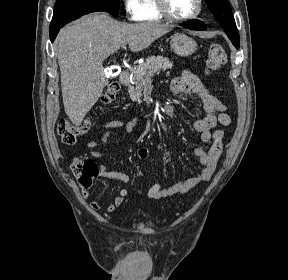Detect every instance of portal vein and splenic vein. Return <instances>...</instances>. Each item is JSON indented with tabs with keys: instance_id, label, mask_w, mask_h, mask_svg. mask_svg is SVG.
<instances>
[{
	"instance_id": "portal-vein-and-splenic-vein-1",
	"label": "portal vein and splenic vein",
	"mask_w": 288,
	"mask_h": 280,
	"mask_svg": "<svg viewBox=\"0 0 288 280\" xmlns=\"http://www.w3.org/2000/svg\"><path fill=\"white\" fill-rule=\"evenodd\" d=\"M121 47L126 48V43H123Z\"/></svg>"
}]
</instances>
